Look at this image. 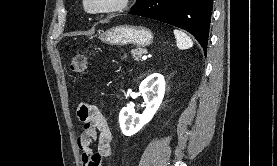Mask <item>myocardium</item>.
<instances>
[{"label": "myocardium", "mask_w": 277, "mask_h": 166, "mask_svg": "<svg viewBox=\"0 0 277 166\" xmlns=\"http://www.w3.org/2000/svg\"><path fill=\"white\" fill-rule=\"evenodd\" d=\"M92 0H81L83 11L89 15H102L123 11L130 0H108L96 6L91 5Z\"/></svg>", "instance_id": "myocardium-1"}]
</instances>
